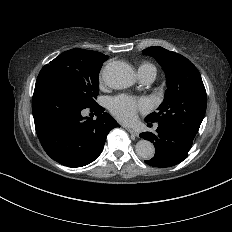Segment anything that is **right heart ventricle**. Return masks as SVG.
Segmentation results:
<instances>
[{
  "mask_svg": "<svg viewBox=\"0 0 232 232\" xmlns=\"http://www.w3.org/2000/svg\"><path fill=\"white\" fill-rule=\"evenodd\" d=\"M141 70H148V71H152L155 75V68L149 64H145L141 67Z\"/></svg>",
  "mask_w": 232,
  "mask_h": 232,
  "instance_id": "right-heart-ventricle-1",
  "label": "right heart ventricle"
}]
</instances>
